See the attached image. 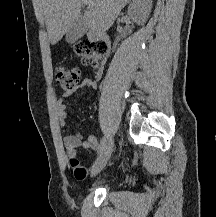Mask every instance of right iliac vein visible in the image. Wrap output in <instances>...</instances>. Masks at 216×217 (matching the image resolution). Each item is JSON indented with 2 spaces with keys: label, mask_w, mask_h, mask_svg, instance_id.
<instances>
[{
  "label": "right iliac vein",
  "mask_w": 216,
  "mask_h": 217,
  "mask_svg": "<svg viewBox=\"0 0 216 217\" xmlns=\"http://www.w3.org/2000/svg\"><path fill=\"white\" fill-rule=\"evenodd\" d=\"M113 147H114V141L110 140L107 146L102 151V153L96 159L95 163L93 164L91 169V176H96L105 167L109 158L111 157V154L113 152Z\"/></svg>",
  "instance_id": "right-iliac-vein-1"
}]
</instances>
